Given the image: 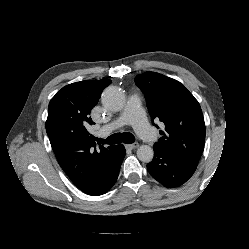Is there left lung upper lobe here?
<instances>
[{
  "label": "left lung upper lobe",
  "instance_id": "left-lung-upper-lobe-1",
  "mask_svg": "<svg viewBox=\"0 0 249 249\" xmlns=\"http://www.w3.org/2000/svg\"><path fill=\"white\" fill-rule=\"evenodd\" d=\"M135 83L145 95L153 124L159 119L165 125L154 147L197 167L205 144V123L198 101L180 82L159 73L137 75Z\"/></svg>",
  "mask_w": 249,
  "mask_h": 249
}]
</instances>
